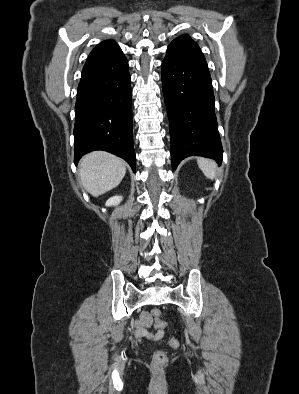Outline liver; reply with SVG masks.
Returning a JSON list of instances; mask_svg holds the SVG:
<instances>
[{
  "label": "liver",
  "instance_id": "liver-1",
  "mask_svg": "<svg viewBox=\"0 0 299 394\" xmlns=\"http://www.w3.org/2000/svg\"><path fill=\"white\" fill-rule=\"evenodd\" d=\"M125 173L124 160L107 152L95 151L85 155L80 161L81 183L95 197L118 186Z\"/></svg>",
  "mask_w": 299,
  "mask_h": 394
}]
</instances>
